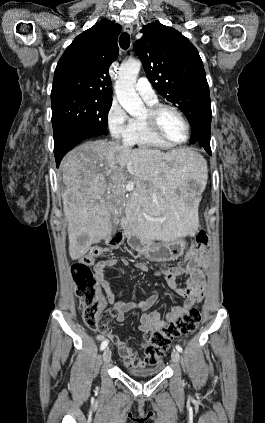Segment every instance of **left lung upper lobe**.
Instances as JSON below:
<instances>
[{"instance_id": "left-lung-upper-lobe-1", "label": "left lung upper lobe", "mask_w": 265, "mask_h": 423, "mask_svg": "<svg viewBox=\"0 0 265 423\" xmlns=\"http://www.w3.org/2000/svg\"><path fill=\"white\" fill-rule=\"evenodd\" d=\"M143 36L134 44L146 76L154 89L174 103L190 122L191 143L211 121L209 86L202 60L194 45L174 28L160 22L141 30Z\"/></svg>"}]
</instances>
